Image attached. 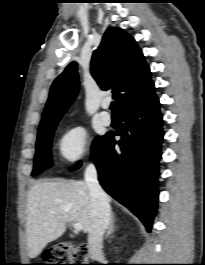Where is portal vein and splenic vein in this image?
I'll return each instance as SVG.
<instances>
[{
	"label": "portal vein and splenic vein",
	"mask_w": 205,
	"mask_h": 265,
	"mask_svg": "<svg viewBox=\"0 0 205 265\" xmlns=\"http://www.w3.org/2000/svg\"><path fill=\"white\" fill-rule=\"evenodd\" d=\"M73 228L76 232H78L83 229V226L80 223H73Z\"/></svg>",
	"instance_id": "1"
}]
</instances>
